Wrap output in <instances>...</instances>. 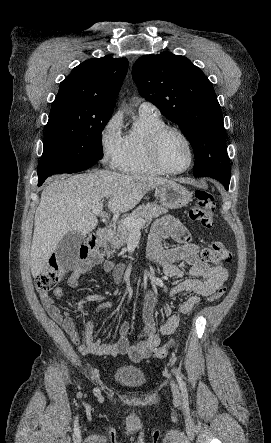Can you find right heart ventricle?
I'll return each mask as SVG.
<instances>
[{
  "instance_id": "1",
  "label": "right heart ventricle",
  "mask_w": 271,
  "mask_h": 443,
  "mask_svg": "<svg viewBox=\"0 0 271 443\" xmlns=\"http://www.w3.org/2000/svg\"><path fill=\"white\" fill-rule=\"evenodd\" d=\"M164 125L160 115L140 112L134 126L123 137L119 169L134 174H163L151 160L149 142L154 131Z\"/></svg>"
}]
</instances>
